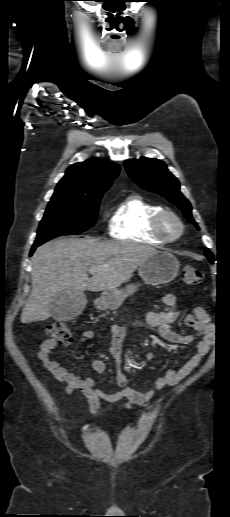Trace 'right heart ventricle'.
<instances>
[{
  "label": "right heart ventricle",
  "mask_w": 230,
  "mask_h": 517,
  "mask_svg": "<svg viewBox=\"0 0 230 517\" xmlns=\"http://www.w3.org/2000/svg\"><path fill=\"white\" fill-rule=\"evenodd\" d=\"M163 208L138 193L124 197L112 213L109 225L111 237L153 245L164 244L154 232L153 217Z\"/></svg>",
  "instance_id": "obj_1"
}]
</instances>
